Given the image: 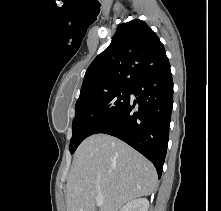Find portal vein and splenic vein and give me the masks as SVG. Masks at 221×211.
Returning a JSON list of instances; mask_svg holds the SVG:
<instances>
[{"label": "portal vein and splenic vein", "mask_w": 221, "mask_h": 211, "mask_svg": "<svg viewBox=\"0 0 221 211\" xmlns=\"http://www.w3.org/2000/svg\"><path fill=\"white\" fill-rule=\"evenodd\" d=\"M97 205H102L104 203V197L102 195L96 196Z\"/></svg>", "instance_id": "obj_1"}]
</instances>
